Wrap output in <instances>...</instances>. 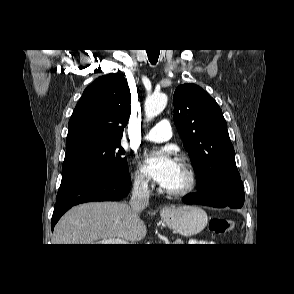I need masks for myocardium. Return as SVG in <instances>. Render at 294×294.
Returning <instances> with one entry per match:
<instances>
[{
    "label": "myocardium",
    "mask_w": 294,
    "mask_h": 294,
    "mask_svg": "<svg viewBox=\"0 0 294 294\" xmlns=\"http://www.w3.org/2000/svg\"><path fill=\"white\" fill-rule=\"evenodd\" d=\"M177 164L181 166L186 175L185 186L177 190L162 188V192L171 197H184L194 190L196 186V173L193 165L184 158H178Z\"/></svg>",
    "instance_id": "f54148a6"
}]
</instances>
